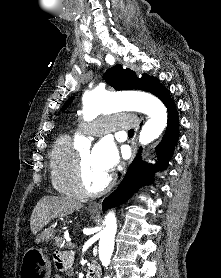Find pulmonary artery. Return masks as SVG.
I'll list each match as a JSON object with an SVG mask.
<instances>
[{
	"mask_svg": "<svg viewBox=\"0 0 221 278\" xmlns=\"http://www.w3.org/2000/svg\"><path fill=\"white\" fill-rule=\"evenodd\" d=\"M137 126V119L132 114L102 116L99 120L80 123L78 130L84 134L100 136L115 129H130Z\"/></svg>",
	"mask_w": 221,
	"mask_h": 278,
	"instance_id": "pulmonary-artery-1",
	"label": "pulmonary artery"
}]
</instances>
